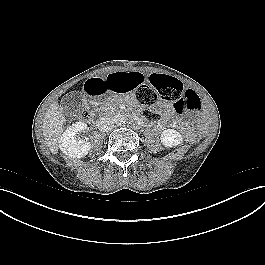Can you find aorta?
<instances>
[{"mask_svg": "<svg viewBox=\"0 0 265 265\" xmlns=\"http://www.w3.org/2000/svg\"><path fill=\"white\" fill-rule=\"evenodd\" d=\"M113 121L116 125H121L125 123L126 118L124 115L118 113L113 116Z\"/></svg>", "mask_w": 265, "mask_h": 265, "instance_id": "aorta-1", "label": "aorta"}]
</instances>
